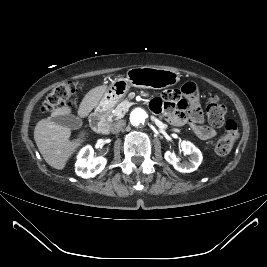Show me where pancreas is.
I'll list each match as a JSON object with an SVG mask.
<instances>
[{"label":"pancreas","mask_w":267,"mask_h":267,"mask_svg":"<svg viewBox=\"0 0 267 267\" xmlns=\"http://www.w3.org/2000/svg\"><path fill=\"white\" fill-rule=\"evenodd\" d=\"M125 102H127V100L121 102L116 106V108L112 112L106 114L107 122L111 123L114 120H118L124 117V115L127 112V108L123 106V103Z\"/></svg>","instance_id":"pancreas-1"}]
</instances>
